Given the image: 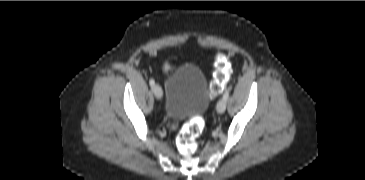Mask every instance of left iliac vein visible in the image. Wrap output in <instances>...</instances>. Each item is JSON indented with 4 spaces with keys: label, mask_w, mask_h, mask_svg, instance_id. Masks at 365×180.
<instances>
[{
    "label": "left iliac vein",
    "mask_w": 365,
    "mask_h": 180,
    "mask_svg": "<svg viewBox=\"0 0 365 180\" xmlns=\"http://www.w3.org/2000/svg\"><path fill=\"white\" fill-rule=\"evenodd\" d=\"M227 102L225 99L221 98L216 106V110L218 113H223L226 109Z\"/></svg>",
    "instance_id": "4c4485c4"
}]
</instances>
